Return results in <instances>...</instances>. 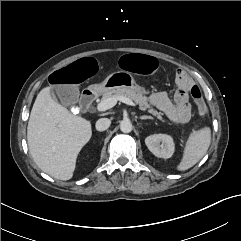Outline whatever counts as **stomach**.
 I'll use <instances>...</instances> for the list:
<instances>
[{
    "mask_svg": "<svg viewBox=\"0 0 241 241\" xmlns=\"http://www.w3.org/2000/svg\"><path fill=\"white\" fill-rule=\"evenodd\" d=\"M117 88H129L145 93V89L137 85L133 75L128 71H116L109 74L101 83L93 84L90 89L95 93H105Z\"/></svg>",
    "mask_w": 241,
    "mask_h": 241,
    "instance_id": "1",
    "label": "stomach"
}]
</instances>
